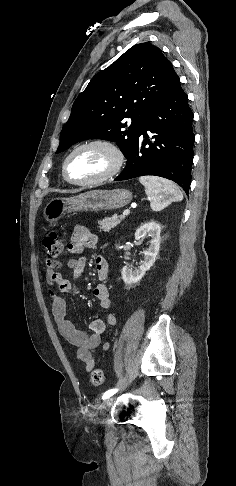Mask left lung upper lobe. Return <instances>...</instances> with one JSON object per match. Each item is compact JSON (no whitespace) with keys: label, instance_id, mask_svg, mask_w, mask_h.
<instances>
[{"label":"left lung upper lobe","instance_id":"5c2ea615","mask_svg":"<svg viewBox=\"0 0 236 486\" xmlns=\"http://www.w3.org/2000/svg\"><path fill=\"white\" fill-rule=\"evenodd\" d=\"M178 80L159 48L134 45L77 97L56 153L82 140L106 139L116 141L127 158L153 108Z\"/></svg>","mask_w":236,"mask_h":486}]
</instances>
